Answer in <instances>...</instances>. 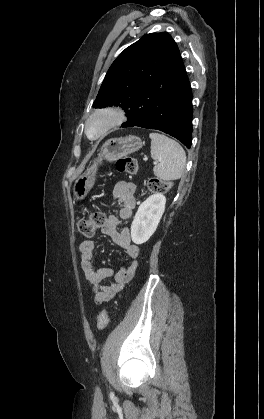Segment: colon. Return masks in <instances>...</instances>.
<instances>
[{
  "label": "colon",
  "instance_id": "1",
  "mask_svg": "<svg viewBox=\"0 0 264 419\" xmlns=\"http://www.w3.org/2000/svg\"><path fill=\"white\" fill-rule=\"evenodd\" d=\"M116 169L121 173L136 174L139 170L138 162L132 157H121L116 160ZM171 184L159 179H150L148 187L153 193H165L169 190ZM105 222V215L102 212H93L80 219L79 231L87 237L93 236L95 232L102 227ZM109 317L106 310H102L98 315L97 327L100 331L108 325Z\"/></svg>",
  "mask_w": 264,
  "mask_h": 419
}]
</instances>
